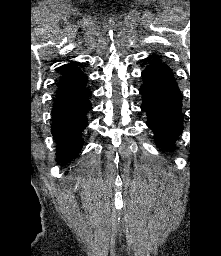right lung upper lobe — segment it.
<instances>
[{"instance_id":"obj_1","label":"right lung upper lobe","mask_w":221,"mask_h":256,"mask_svg":"<svg viewBox=\"0 0 221 256\" xmlns=\"http://www.w3.org/2000/svg\"><path fill=\"white\" fill-rule=\"evenodd\" d=\"M86 75L73 63L66 65V69L60 79L55 101L64 100L79 93L88 91L85 83Z\"/></svg>"}]
</instances>
